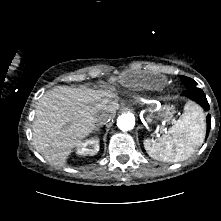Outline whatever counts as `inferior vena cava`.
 <instances>
[{
  "label": "inferior vena cava",
  "mask_w": 221,
  "mask_h": 221,
  "mask_svg": "<svg viewBox=\"0 0 221 221\" xmlns=\"http://www.w3.org/2000/svg\"><path fill=\"white\" fill-rule=\"evenodd\" d=\"M110 119H111V117L109 114L103 113L96 118V125L102 126V125L106 124L107 122H109Z\"/></svg>",
  "instance_id": "obj_1"
}]
</instances>
